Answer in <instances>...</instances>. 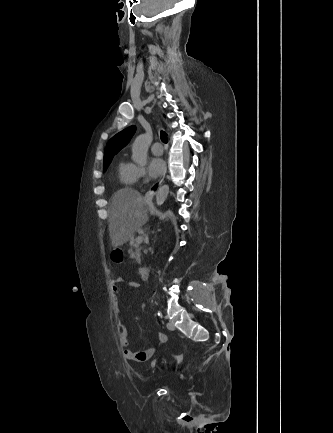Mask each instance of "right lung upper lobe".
Here are the masks:
<instances>
[{"label":"right lung upper lobe","instance_id":"right-lung-upper-lobe-1","mask_svg":"<svg viewBox=\"0 0 333 433\" xmlns=\"http://www.w3.org/2000/svg\"><path fill=\"white\" fill-rule=\"evenodd\" d=\"M136 131V126H130L116 134L107 144L104 155V163L110 164L113 157L131 140Z\"/></svg>","mask_w":333,"mask_h":433}]
</instances>
